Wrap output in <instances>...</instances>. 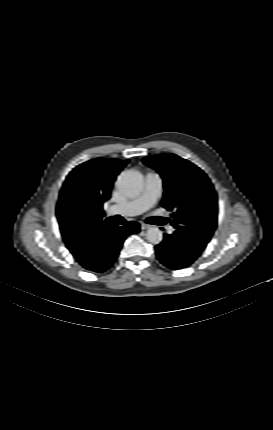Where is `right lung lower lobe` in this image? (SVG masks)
Returning <instances> with one entry per match:
<instances>
[{
    "instance_id": "right-lung-lower-lobe-1",
    "label": "right lung lower lobe",
    "mask_w": 273,
    "mask_h": 430,
    "mask_svg": "<svg viewBox=\"0 0 273 430\" xmlns=\"http://www.w3.org/2000/svg\"><path fill=\"white\" fill-rule=\"evenodd\" d=\"M139 231L140 225L134 221L121 227L113 222L99 226L93 230L87 250L75 258L87 270L104 272L117 259L125 238Z\"/></svg>"
}]
</instances>
